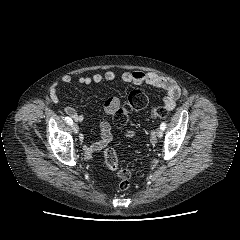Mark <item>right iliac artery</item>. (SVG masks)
I'll return each instance as SVG.
<instances>
[{
  "label": "right iliac artery",
  "instance_id": "right-iliac-artery-1",
  "mask_svg": "<svg viewBox=\"0 0 240 240\" xmlns=\"http://www.w3.org/2000/svg\"><path fill=\"white\" fill-rule=\"evenodd\" d=\"M65 121H66V123L69 124V125H72V123H73L72 119L69 118V117H65Z\"/></svg>",
  "mask_w": 240,
  "mask_h": 240
}]
</instances>
